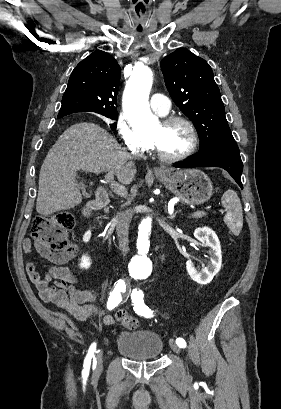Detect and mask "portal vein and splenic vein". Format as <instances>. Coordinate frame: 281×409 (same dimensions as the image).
I'll return each mask as SVG.
<instances>
[{
    "label": "portal vein and splenic vein",
    "mask_w": 281,
    "mask_h": 409,
    "mask_svg": "<svg viewBox=\"0 0 281 409\" xmlns=\"http://www.w3.org/2000/svg\"><path fill=\"white\" fill-rule=\"evenodd\" d=\"M104 182H107V184H111L112 190H114V195L115 196H124L127 194V185L126 184H121V182L119 180H114V172L113 170H110V172H107V174H105V180ZM125 202L129 201L128 197L124 198ZM204 210L203 209H198L197 212H192L190 213V216H192L193 220H201L202 216H203ZM218 213L224 214L225 210L221 209L218 210Z\"/></svg>",
    "instance_id": "obj_1"
}]
</instances>
